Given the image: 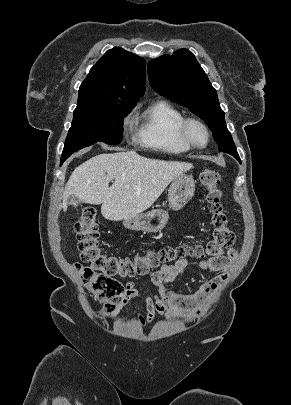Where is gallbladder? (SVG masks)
<instances>
[{"mask_svg":"<svg viewBox=\"0 0 291 405\" xmlns=\"http://www.w3.org/2000/svg\"><path fill=\"white\" fill-rule=\"evenodd\" d=\"M69 204L76 207V206H78L79 201L76 198L71 197L69 200Z\"/></svg>","mask_w":291,"mask_h":405,"instance_id":"bac80fb5","label":"gallbladder"}]
</instances>
